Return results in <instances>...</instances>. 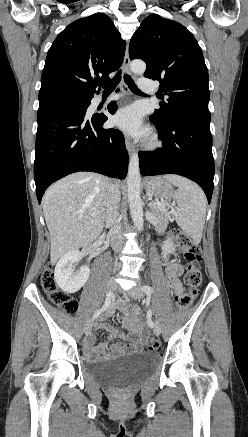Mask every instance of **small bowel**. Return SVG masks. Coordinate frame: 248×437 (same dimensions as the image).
<instances>
[{
	"label": "small bowel",
	"mask_w": 248,
	"mask_h": 437,
	"mask_svg": "<svg viewBox=\"0 0 248 437\" xmlns=\"http://www.w3.org/2000/svg\"><path fill=\"white\" fill-rule=\"evenodd\" d=\"M182 273V267L178 263H169L166 266L167 284L174 291V294L182 293V284L179 276ZM113 313V308H110L106 316ZM102 328L110 332V339H125V334L120 330L113 328L107 324H101ZM127 328L132 330V338L128 343L118 342L109 347L108 343L94 345V337L88 334L84 340L85 354L89 359L102 360L109 356L118 355L124 352H139L143 349L144 330L140 326H136L133 322L127 321Z\"/></svg>",
	"instance_id": "1"
}]
</instances>
